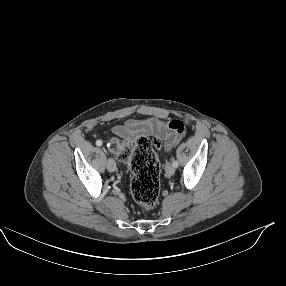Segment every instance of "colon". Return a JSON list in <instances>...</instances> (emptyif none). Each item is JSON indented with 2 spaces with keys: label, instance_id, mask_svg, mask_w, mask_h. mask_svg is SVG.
I'll return each mask as SVG.
<instances>
[{
  "label": "colon",
  "instance_id": "5ec220e1",
  "mask_svg": "<svg viewBox=\"0 0 286 286\" xmlns=\"http://www.w3.org/2000/svg\"><path fill=\"white\" fill-rule=\"evenodd\" d=\"M184 131V124L178 123ZM108 149L120 160L130 164L133 171L130 190L133 199L146 211L152 210L160 191V169L152 145L146 137H139L132 148L128 143L113 138Z\"/></svg>",
  "mask_w": 286,
  "mask_h": 286
}]
</instances>
